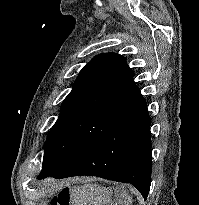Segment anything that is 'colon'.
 <instances>
[{
	"label": "colon",
	"instance_id": "1",
	"mask_svg": "<svg viewBox=\"0 0 199 205\" xmlns=\"http://www.w3.org/2000/svg\"><path fill=\"white\" fill-rule=\"evenodd\" d=\"M61 204L60 202H54L53 205H59Z\"/></svg>",
	"mask_w": 199,
	"mask_h": 205
}]
</instances>
